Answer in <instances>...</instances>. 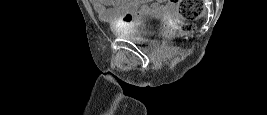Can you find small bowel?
<instances>
[{"instance_id":"c3829d8e","label":"small bowel","mask_w":267,"mask_h":115,"mask_svg":"<svg viewBox=\"0 0 267 115\" xmlns=\"http://www.w3.org/2000/svg\"><path fill=\"white\" fill-rule=\"evenodd\" d=\"M90 2L99 16L113 19H120L126 11H130L133 18L139 19L147 13L168 15L178 8L175 3L148 0H91Z\"/></svg>"}]
</instances>
